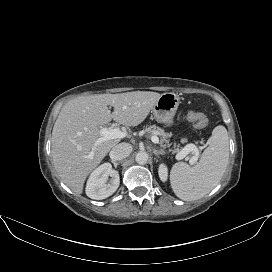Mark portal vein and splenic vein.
<instances>
[{
  "instance_id": "portal-vein-and-splenic-vein-1",
  "label": "portal vein and splenic vein",
  "mask_w": 272,
  "mask_h": 272,
  "mask_svg": "<svg viewBox=\"0 0 272 272\" xmlns=\"http://www.w3.org/2000/svg\"><path fill=\"white\" fill-rule=\"evenodd\" d=\"M99 135L101 136V138L98 139L97 143H100V142H103V141L109 140V139L124 138L126 136V133L121 131L118 128H114V129L102 128L99 130ZM151 140L155 144L159 143V138L155 135L151 137ZM191 151H193L194 155L190 158L189 163H190V165H194L199 158V150L194 144H189L186 148H184L181 152H179L176 155V159L182 160Z\"/></svg>"
}]
</instances>
